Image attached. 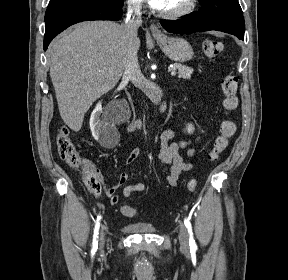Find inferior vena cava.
I'll return each instance as SVG.
<instances>
[{
  "label": "inferior vena cava",
  "instance_id": "obj_1",
  "mask_svg": "<svg viewBox=\"0 0 288 280\" xmlns=\"http://www.w3.org/2000/svg\"><path fill=\"white\" fill-rule=\"evenodd\" d=\"M141 24V5L139 3L129 4L127 17L123 24L125 36L128 40L124 77L130 79L140 90H147V93L152 97V99H149V104H158L161 100L158 94H164V89H160L158 81H148L147 78H144L138 63L137 49L134 46V41L137 38V30Z\"/></svg>",
  "mask_w": 288,
  "mask_h": 280
}]
</instances>
